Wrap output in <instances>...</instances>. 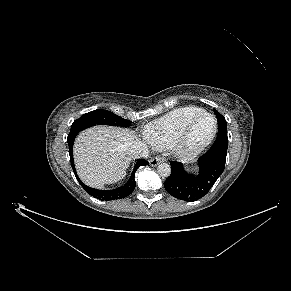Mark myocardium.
<instances>
[{
	"label": "myocardium",
	"instance_id": "myocardium-1",
	"mask_svg": "<svg viewBox=\"0 0 291 291\" xmlns=\"http://www.w3.org/2000/svg\"><path fill=\"white\" fill-rule=\"evenodd\" d=\"M204 117H211L214 121V127L211 134L202 143L197 145H192L190 143V134L194 126ZM218 131V122L216 117L211 114L204 112L195 118H193L180 132V134L171 143V148L173 152L180 158L188 159L197 156L203 152L215 139Z\"/></svg>",
	"mask_w": 291,
	"mask_h": 291
}]
</instances>
